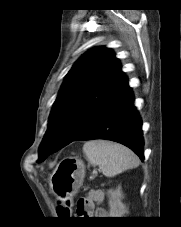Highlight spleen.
<instances>
[{
	"label": "spleen",
	"instance_id": "spleen-1",
	"mask_svg": "<svg viewBox=\"0 0 181 227\" xmlns=\"http://www.w3.org/2000/svg\"><path fill=\"white\" fill-rule=\"evenodd\" d=\"M83 153L88 162L99 166L107 177H114L140 164L139 158L129 148L106 140L86 142Z\"/></svg>",
	"mask_w": 181,
	"mask_h": 227
}]
</instances>
